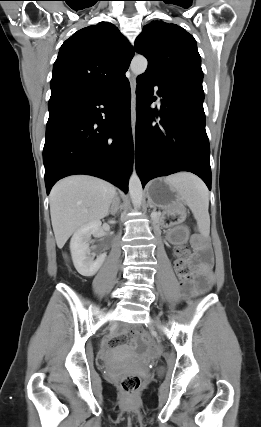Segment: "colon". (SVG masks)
I'll list each match as a JSON object with an SVG mask.
<instances>
[{
	"label": "colon",
	"instance_id": "obj_1",
	"mask_svg": "<svg viewBox=\"0 0 261 427\" xmlns=\"http://www.w3.org/2000/svg\"><path fill=\"white\" fill-rule=\"evenodd\" d=\"M187 254V250L183 247L177 248L176 255L178 256L176 260V269L182 280H186L188 278V270L186 263L184 261V256ZM139 340L143 344L148 343V337L144 334V332L140 329L135 331ZM141 386V379L137 375H127L122 378L120 382L121 390L127 396H132L139 390Z\"/></svg>",
	"mask_w": 261,
	"mask_h": 427
}]
</instances>
